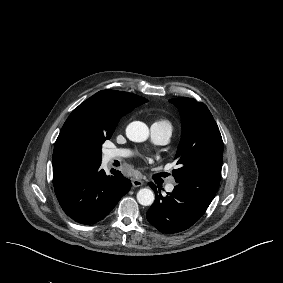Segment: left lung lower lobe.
<instances>
[{"mask_svg":"<svg viewBox=\"0 0 283 283\" xmlns=\"http://www.w3.org/2000/svg\"><path fill=\"white\" fill-rule=\"evenodd\" d=\"M156 201L147 212L148 222L160 232L171 234L184 231L197 222L209 204L175 186L172 193L163 197L152 182ZM160 191V190H159Z\"/></svg>","mask_w":283,"mask_h":283,"instance_id":"0a47b994","label":"left lung lower lobe"}]
</instances>
